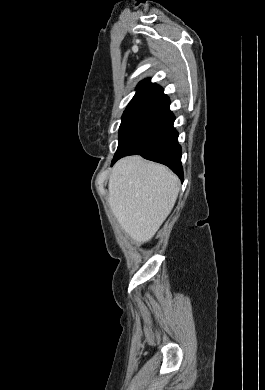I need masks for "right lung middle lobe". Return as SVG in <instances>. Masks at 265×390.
Listing matches in <instances>:
<instances>
[{"mask_svg": "<svg viewBox=\"0 0 265 390\" xmlns=\"http://www.w3.org/2000/svg\"><path fill=\"white\" fill-rule=\"evenodd\" d=\"M154 101L146 99L131 100L126 107L123 115L122 122L119 128V140L124 135L130 124L135 118L140 115L146 108H148Z\"/></svg>", "mask_w": 265, "mask_h": 390, "instance_id": "right-lung-middle-lobe-1", "label": "right lung middle lobe"}]
</instances>
